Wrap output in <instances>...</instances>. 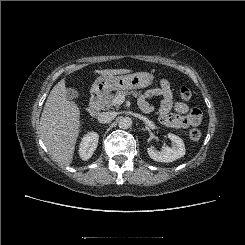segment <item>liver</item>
Returning <instances> with one entry per match:
<instances>
[{"instance_id": "liver-1", "label": "liver", "mask_w": 245, "mask_h": 245, "mask_svg": "<svg viewBox=\"0 0 245 245\" xmlns=\"http://www.w3.org/2000/svg\"><path fill=\"white\" fill-rule=\"evenodd\" d=\"M103 76L130 73L129 69L95 70ZM66 81L60 80L51 90L40 118V136L53 160L60 165L72 163L80 133V109L66 96Z\"/></svg>"}]
</instances>
